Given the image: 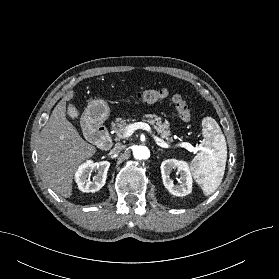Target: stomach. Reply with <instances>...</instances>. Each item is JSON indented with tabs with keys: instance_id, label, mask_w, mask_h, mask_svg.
I'll use <instances>...</instances> for the list:
<instances>
[{
	"instance_id": "1",
	"label": "stomach",
	"mask_w": 279,
	"mask_h": 279,
	"mask_svg": "<svg viewBox=\"0 0 279 279\" xmlns=\"http://www.w3.org/2000/svg\"><path fill=\"white\" fill-rule=\"evenodd\" d=\"M110 108L103 99L92 100L83 114V121L88 126H97L109 117Z\"/></svg>"
}]
</instances>
